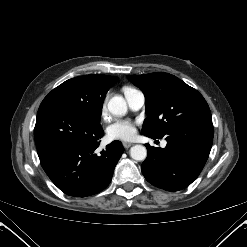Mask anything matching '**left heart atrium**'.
<instances>
[{
  "label": "left heart atrium",
  "mask_w": 247,
  "mask_h": 247,
  "mask_svg": "<svg viewBox=\"0 0 247 247\" xmlns=\"http://www.w3.org/2000/svg\"><path fill=\"white\" fill-rule=\"evenodd\" d=\"M135 132V125L129 120H118L107 129V135L112 140H130Z\"/></svg>",
  "instance_id": "left-heart-atrium-1"
}]
</instances>
